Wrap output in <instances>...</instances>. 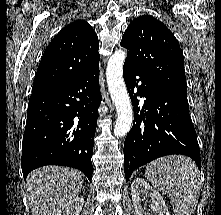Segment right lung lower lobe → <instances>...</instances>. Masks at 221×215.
Returning <instances> with one entry per match:
<instances>
[{
  "label": "right lung lower lobe",
  "mask_w": 221,
  "mask_h": 215,
  "mask_svg": "<svg viewBox=\"0 0 221 215\" xmlns=\"http://www.w3.org/2000/svg\"><path fill=\"white\" fill-rule=\"evenodd\" d=\"M98 64L70 81L32 93L22 145L24 178L38 167L61 165L81 170L91 181L97 108L102 99Z\"/></svg>",
  "instance_id": "1"
}]
</instances>
